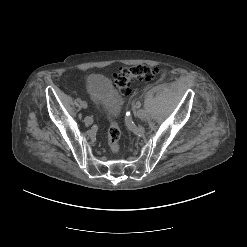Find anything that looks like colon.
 Returning <instances> with one entry per match:
<instances>
[{
  "label": "colon",
  "instance_id": "5ec220e1",
  "mask_svg": "<svg viewBox=\"0 0 247 247\" xmlns=\"http://www.w3.org/2000/svg\"><path fill=\"white\" fill-rule=\"evenodd\" d=\"M160 74L161 71L156 67L145 65L122 67L113 74V82L123 95H129L134 82H148L156 79ZM120 136L121 131L119 125L115 119H112L108 130V146L113 154H118L120 152Z\"/></svg>",
  "mask_w": 247,
  "mask_h": 247
}]
</instances>
